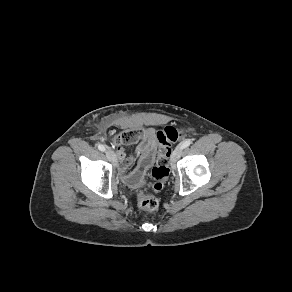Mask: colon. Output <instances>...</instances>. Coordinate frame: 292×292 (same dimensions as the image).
<instances>
[{"label":"colon","instance_id":"obj_1","mask_svg":"<svg viewBox=\"0 0 292 292\" xmlns=\"http://www.w3.org/2000/svg\"><path fill=\"white\" fill-rule=\"evenodd\" d=\"M143 135L141 129L126 130L118 134L115 138L116 144H130L138 140ZM185 130L182 127L167 126L157 132L156 137L159 143V151L156 164L152 169L153 178L152 190L159 192L169 176V161L171 157V146L183 139ZM139 206L146 211H154L158 208V199L151 194L141 193L138 195Z\"/></svg>","mask_w":292,"mask_h":292}]
</instances>
